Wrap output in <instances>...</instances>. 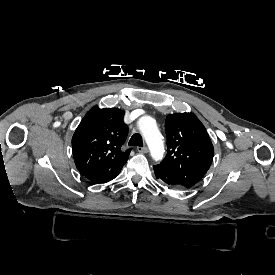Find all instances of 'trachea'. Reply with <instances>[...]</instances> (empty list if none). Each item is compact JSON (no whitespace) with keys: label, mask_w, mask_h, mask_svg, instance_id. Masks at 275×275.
I'll return each instance as SVG.
<instances>
[{"label":"trachea","mask_w":275,"mask_h":275,"mask_svg":"<svg viewBox=\"0 0 275 275\" xmlns=\"http://www.w3.org/2000/svg\"><path fill=\"white\" fill-rule=\"evenodd\" d=\"M128 144H129V146L143 147V140H142L141 135L138 133L132 135Z\"/></svg>","instance_id":"trachea-1"}]
</instances>
